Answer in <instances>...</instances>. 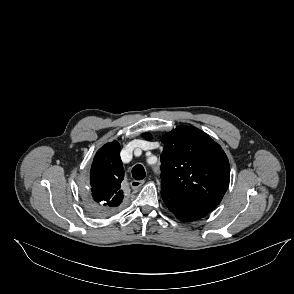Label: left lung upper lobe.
Returning <instances> with one entry per match:
<instances>
[{
	"instance_id": "5c2ea615",
	"label": "left lung upper lobe",
	"mask_w": 294,
	"mask_h": 294,
	"mask_svg": "<svg viewBox=\"0 0 294 294\" xmlns=\"http://www.w3.org/2000/svg\"><path fill=\"white\" fill-rule=\"evenodd\" d=\"M146 139L151 136L144 134ZM161 154L162 199L182 221L200 219L222 200L230 181L229 161L200 129L180 126L167 133Z\"/></svg>"
}]
</instances>
